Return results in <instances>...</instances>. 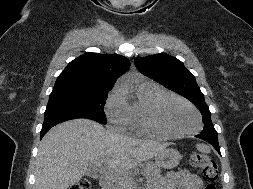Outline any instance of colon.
Wrapping results in <instances>:
<instances>
[{
  "label": "colon",
  "mask_w": 253,
  "mask_h": 189,
  "mask_svg": "<svg viewBox=\"0 0 253 189\" xmlns=\"http://www.w3.org/2000/svg\"><path fill=\"white\" fill-rule=\"evenodd\" d=\"M190 163L207 180L205 189H216L214 182L218 177V167L214 160L205 154L193 153ZM69 189H90V182L82 179L70 186Z\"/></svg>",
  "instance_id": "1"
}]
</instances>
